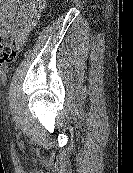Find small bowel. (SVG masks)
I'll return each mask as SVG.
<instances>
[{"label": "small bowel", "mask_w": 133, "mask_h": 173, "mask_svg": "<svg viewBox=\"0 0 133 173\" xmlns=\"http://www.w3.org/2000/svg\"><path fill=\"white\" fill-rule=\"evenodd\" d=\"M46 0H0V24L4 35L15 38L22 46L36 25Z\"/></svg>", "instance_id": "obj_1"}]
</instances>
